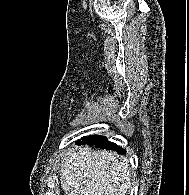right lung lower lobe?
<instances>
[{"mask_svg":"<svg viewBox=\"0 0 189 195\" xmlns=\"http://www.w3.org/2000/svg\"><path fill=\"white\" fill-rule=\"evenodd\" d=\"M77 144L79 145H85V144H90V145H95L98 148L102 149H110L117 151L120 154H125V150L122 148L118 147L115 143L109 142L106 137L104 136H99V135H92V136H85L82 139L77 141Z\"/></svg>","mask_w":189,"mask_h":195,"instance_id":"obj_1","label":"right lung lower lobe"}]
</instances>
